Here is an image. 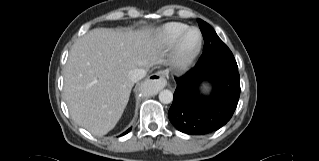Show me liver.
<instances>
[{
	"label": "liver",
	"instance_id": "6515ba94",
	"mask_svg": "<svg viewBox=\"0 0 319 161\" xmlns=\"http://www.w3.org/2000/svg\"><path fill=\"white\" fill-rule=\"evenodd\" d=\"M162 45L152 28H96L72 46L64 71V98L72 119L96 136L121 118L134 83L129 71L161 64Z\"/></svg>",
	"mask_w": 319,
	"mask_h": 161
}]
</instances>
